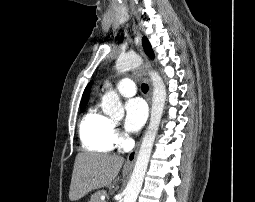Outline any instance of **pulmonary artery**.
Returning <instances> with one entry per match:
<instances>
[{"label": "pulmonary artery", "instance_id": "pulmonary-artery-1", "mask_svg": "<svg viewBox=\"0 0 255 202\" xmlns=\"http://www.w3.org/2000/svg\"><path fill=\"white\" fill-rule=\"evenodd\" d=\"M116 88L118 92L124 97H131L134 96L136 93L135 83L129 78H124L120 80L117 83Z\"/></svg>", "mask_w": 255, "mask_h": 202}]
</instances>
